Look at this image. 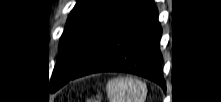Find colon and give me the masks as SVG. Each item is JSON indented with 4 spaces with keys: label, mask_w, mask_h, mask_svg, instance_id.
I'll list each match as a JSON object with an SVG mask.
<instances>
[{
    "label": "colon",
    "mask_w": 221,
    "mask_h": 102,
    "mask_svg": "<svg viewBox=\"0 0 221 102\" xmlns=\"http://www.w3.org/2000/svg\"><path fill=\"white\" fill-rule=\"evenodd\" d=\"M88 102H99V100L96 98H91L90 100H88Z\"/></svg>",
    "instance_id": "colon-1"
}]
</instances>
